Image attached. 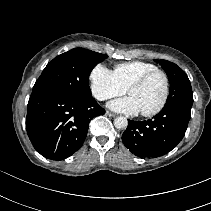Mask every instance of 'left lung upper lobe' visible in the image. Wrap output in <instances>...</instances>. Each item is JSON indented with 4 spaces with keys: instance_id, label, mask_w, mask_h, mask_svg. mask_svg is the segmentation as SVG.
Segmentation results:
<instances>
[{
    "instance_id": "obj_1",
    "label": "left lung upper lobe",
    "mask_w": 211,
    "mask_h": 211,
    "mask_svg": "<svg viewBox=\"0 0 211 211\" xmlns=\"http://www.w3.org/2000/svg\"><path fill=\"white\" fill-rule=\"evenodd\" d=\"M159 64L165 70L170 82L169 96L165 106L178 103L192 107L193 93L190 81L185 72L176 64L167 60L161 59Z\"/></svg>"
}]
</instances>
